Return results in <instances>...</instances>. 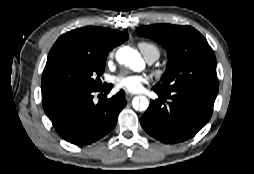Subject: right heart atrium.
<instances>
[{"label": "right heart atrium", "instance_id": "right-heart-atrium-1", "mask_svg": "<svg viewBox=\"0 0 254 174\" xmlns=\"http://www.w3.org/2000/svg\"><path fill=\"white\" fill-rule=\"evenodd\" d=\"M114 55H115V49H112V50L108 53V60L113 59Z\"/></svg>", "mask_w": 254, "mask_h": 174}]
</instances>
